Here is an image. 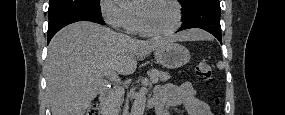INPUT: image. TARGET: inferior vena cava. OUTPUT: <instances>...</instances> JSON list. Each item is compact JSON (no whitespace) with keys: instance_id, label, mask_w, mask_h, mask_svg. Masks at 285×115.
Returning a JSON list of instances; mask_svg holds the SVG:
<instances>
[{"instance_id":"602c4592","label":"inferior vena cava","mask_w":285,"mask_h":115,"mask_svg":"<svg viewBox=\"0 0 285 115\" xmlns=\"http://www.w3.org/2000/svg\"><path fill=\"white\" fill-rule=\"evenodd\" d=\"M121 36H125L124 34H121ZM119 115H124L123 112H120Z\"/></svg>"}]
</instances>
